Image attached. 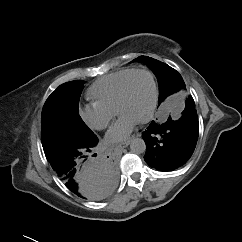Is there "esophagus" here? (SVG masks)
<instances>
[{
    "instance_id": "esophagus-1",
    "label": "esophagus",
    "mask_w": 242,
    "mask_h": 242,
    "mask_svg": "<svg viewBox=\"0 0 242 242\" xmlns=\"http://www.w3.org/2000/svg\"><path fill=\"white\" fill-rule=\"evenodd\" d=\"M130 142H131L130 140H127L125 142H122V143H120L118 145V147H120V148H126L130 144Z\"/></svg>"
}]
</instances>
